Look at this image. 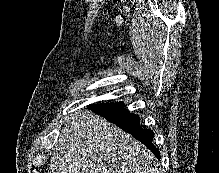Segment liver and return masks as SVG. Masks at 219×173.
<instances>
[{
    "mask_svg": "<svg viewBox=\"0 0 219 173\" xmlns=\"http://www.w3.org/2000/svg\"><path fill=\"white\" fill-rule=\"evenodd\" d=\"M55 149L49 173H159L144 145L92 111L66 119Z\"/></svg>",
    "mask_w": 219,
    "mask_h": 173,
    "instance_id": "obj_1",
    "label": "liver"
}]
</instances>
